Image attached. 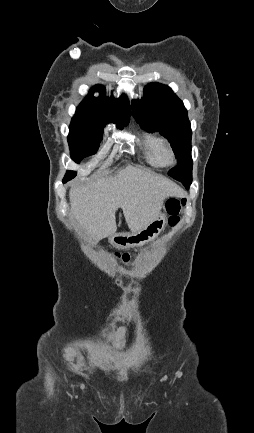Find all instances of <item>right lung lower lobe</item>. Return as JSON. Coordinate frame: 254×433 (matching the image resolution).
Returning <instances> with one entry per match:
<instances>
[{
    "instance_id": "1",
    "label": "right lung lower lobe",
    "mask_w": 254,
    "mask_h": 433,
    "mask_svg": "<svg viewBox=\"0 0 254 433\" xmlns=\"http://www.w3.org/2000/svg\"><path fill=\"white\" fill-rule=\"evenodd\" d=\"M75 175H76L75 172H73V171H68V172L66 173L64 179H63V183H65V182L69 181L70 179L74 178Z\"/></svg>"
}]
</instances>
